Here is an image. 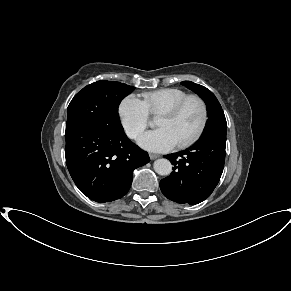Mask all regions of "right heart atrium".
Instances as JSON below:
<instances>
[{
	"instance_id": "d8ad5b80",
	"label": "right heart atrium",
	"mask_w": 291,
	"mask_h": 291,
	"mask_svg": "<svg viewBox=\"0 0 291 291\" xmlns=\"http://www.w3.org/2000/svg\"><path fill=\"white\" fill-rule=\"evenodd\" d=\"M118 116L124 132L133 140L138 139L149 124V114L144 103L132 94L121 100Z\"/></svg>"
}]
</instances>
